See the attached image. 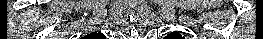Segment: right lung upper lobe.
<instances>
[{
	"label": "right lung upper lobe",
	"mask_w": 263,
	"mask_h": 39,
	"mask_svg": "<svg viewBox=\"0 0 263 39\" xmlns=\"http://www.w3.org/2000/svg\"><path fill=\"white\" fill-rule=\"evenodd\" d=\"M101 35H103L102 33H91L87 36L84 37V39H101Z\"/></svg>",
	"instance_id": "cb5924a9"
}]
</instances>
